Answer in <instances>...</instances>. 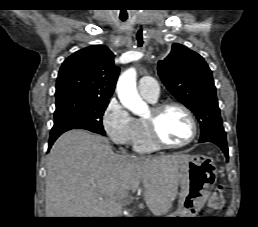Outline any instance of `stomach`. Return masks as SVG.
<instances>
[{
  "instance_id": "0dacf381",
  "label": "stomach",
  "mask_w": 258,
  "mask_h": 227,
  "mask_svg": "<svg viewBox=\"0 0 258 227\" xmlns=\"http://www.w3.org/2000/svg\"><path fill=\"white\" fill-rule=\"evenodd\" d=\"M178 209L167 217H190L204 205L217 181L213 160L203 155L190 156L180 164Z\"/></svg>"
}]
</instances>
